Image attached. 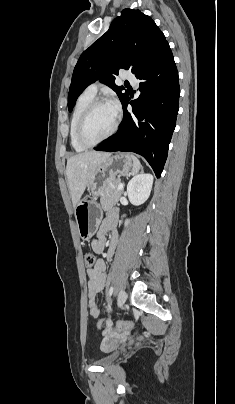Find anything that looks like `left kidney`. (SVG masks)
<instances>
[{
  "instance_id": "left-kidney-1",
  "label": "left kidney",
  "mask_w": 235,
  "mask_h": 404,
  "mask_svg": "<svg viewBox=\"0 0 235 404\" xmlns=\"http://www.w3.org/2000/svg\"><path fill=\"white\" fill-rule=\"evenodd\" d=\"M153 185V176L149 173H141L134 176L127 185V195L134 205L144 203L150 196ZM129 221L125 222L127 225Z\"/></svg>"
}]
</instances>
